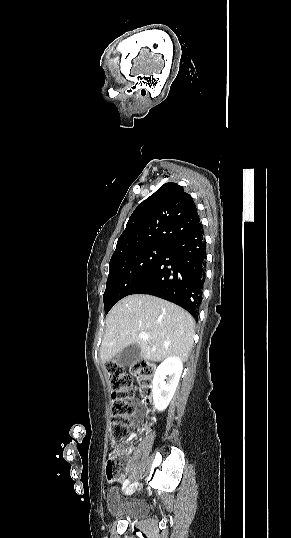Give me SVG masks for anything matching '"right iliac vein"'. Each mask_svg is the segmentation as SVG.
<instances>
[{
    "label": "right iliac vein",
    "mask_w": 291,
    "mask_h": 538,
    "mask_svg": "<svg viewBox=\"0 0 291 538\" xmlns=\"http://www.w3.org/2000/svg\"><path fill=\"white\" fill-rule=\"evenodd\" d=\"M137 485H138V482H137V481L131 483V484L127 487L125 493L128 494V495H131V494L136 490Z\"/></svg>",
    "instance_id": "1"
}]
</instances>
